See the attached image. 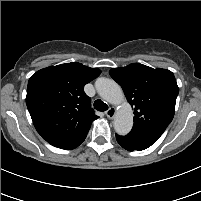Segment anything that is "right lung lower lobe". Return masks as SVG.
I'll return each mask as SVG.
<instances>
[{
  "label": "right lung lower lobe",
  "instance_id": "right-lung-lower-lobe-1",
  "mask_svg": "<svg viewBox=\"0 0 201 201\" xmlns=\"http://www.w3.org/2000/svg\"><path fill=\"white\" fill-rule=\"evenodd\" d=\"M86 138V135L70 141L51 142L50 144L61 149H74L78 147Z\"/></svg>",
  "mask_w": 201,
  "mask_h": 201
}]
</instances>
